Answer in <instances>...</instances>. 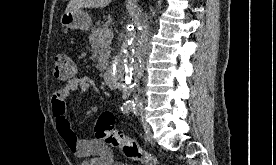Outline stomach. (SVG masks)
Returning a JSON list of instances; mask_svg holds the SVG:
<instances>
[{
    "instance_id": "1",
    "label": "stomach",
    "mask_w": 276,
    "mask_h": 165,
    "mask_svg": "<svg viewBox=\"0 0 276 165\" xmlns=\"http://www.w3.org/2000/svg\"><path fill=\"white\" fill-rule=\"evenodd\" d=\"M60 22L65 28L87 31L91 26L92 20L87 13L82 10H77L63 13Z\"/></svg>"
}]
</instances>
